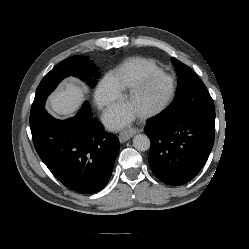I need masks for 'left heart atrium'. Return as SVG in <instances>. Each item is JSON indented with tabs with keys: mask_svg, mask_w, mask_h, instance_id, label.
<instances>
[{
	"mask_svg": "<svg viewBox=\"0 0 249 249\" xmlns=\"http://www.w3.org/2000/svg\"><path fill=\"white\" fill-rule=\"evenodd\" d=\"M134 117L135 113L126 105H119L110 110L105 118L109 126L120 128L128 124Z\"/></svg>",
	"mask_w": 249,
	"mask_h": 249,
	"instance_id": "1",
	"label": "left heart atrium"
}]
</instances>
